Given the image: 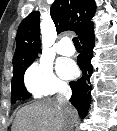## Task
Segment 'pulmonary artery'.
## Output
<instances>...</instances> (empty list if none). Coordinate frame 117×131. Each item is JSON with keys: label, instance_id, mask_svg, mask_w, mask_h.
I'll return each mask as SVG.
<instances>
[{"label": "pulmonary artery", "instance_id": "e3ab8cb5", "mask_svg": "<svg viewBox=\"0 0 117 131\" xmlns=\"http://www.w3.org/2000/svg\"><path fill=\"white\" fill-rule=\"evenodd\" d=\"M56 50L58 54L71 56L75 53V48L73 47L69 38H62L56 46Z\"/></svg>", "mask_w": 117, "mask_h": 131}]
</instances>
